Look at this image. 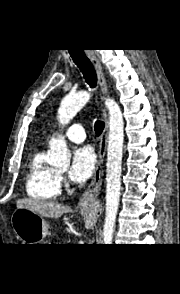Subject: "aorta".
<instances>
[{"label":"aorta","mask_w":180,"mask_h":294,"mask_svg":"<svg viewBox=\"0 0 180 294\" xmlns=\"http://www.w3.org/2000/svg\"><path fill=\"white\" fill-rule=\"evenodd\" d=\"M90 97L91 95L87 91L65 96L58 109L59 123L61 125L68 124L90 100ZM105 105L109 112V136L106 163V217L103 228V241L104 244H112L120 200L124 121L121 109L114 99H105ZM50 149L52 164L58 168H68L71 153L64 138L59 137L51 140Z\"/></svg>","instance_id":"aorta-1"}]
</instances>
